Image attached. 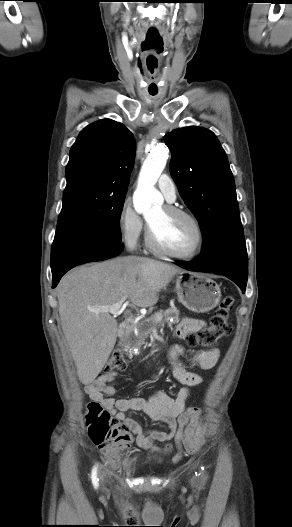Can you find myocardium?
Segmentation results:
<instances>
[{"label": "myocardium", "mask_w": 292, "mask_h": 527, "mask_svg": "<svg viewBox=\"0 0 292 527\" xmlns=\"http://www.w3.org/2000/svg\"><path fill=\"white\" fill-rule=\"evenodd\" d=\"M163 209L171 214H178L182 215L186 218H188L194 225L196 230V242L193 246V248L186 252V253H178L171 251L164 246H162L156 239L151 226L147 222V229H146V243L147 246L154 251L155 253H158L160 255H164L167 257H171L174 259H180V260H190L196 257L202 250L205 242V233L203 226L200 222V220L189 210L174 206V205H164Z\"/></svg>", "instance_id": "1"}]
</instances>
